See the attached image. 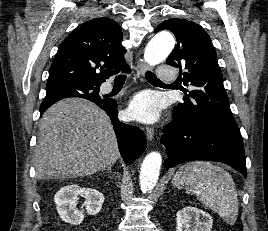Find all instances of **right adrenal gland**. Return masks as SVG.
Returning a JSON list of instances; mask_svg holds the SVG:
<instances>
[{"label": "right adrenal gland", "instance_id": "1", "mask_svg": "<svg viewBox=\"0 0 268 231\" xmlns=\"http://www.w3.org/2000/svg\"><path fill=\"white\" fill-rule=\"evenodd\" d=\"M111 168H112V165H109L106 168L102 169V171H106L107 170V172L111 174L112 173Z\"/></svg>", "mask_w": 268, "mask_h": 231}]
</instances>
